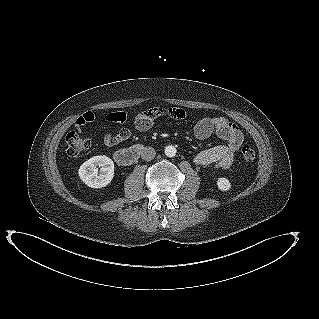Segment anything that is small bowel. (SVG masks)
<instances>
[{"label":"small bowel","mask_w":319,"mask_h":319,"mask_svg":"<svg viewBox=\"0 0 319 319\" xmlns=\"http://www.w3.org/2000/svg\"><path fill=\"white\" fill-rule=\"evenodd\" d=\"M163 116L180 120L186 117V111L180 107L166 109L153 107L136 116L135 127L139 131H148L153 127L155 120ZM94 119L95 117L92 112L85 113L77 119L76 128L81 130ZM193 132L198 139H206L211 135H216L226 142L223 145L215 146L196 154L193 159L195 165H213L225 170L234 164L237 153L244 141L243 133L234 123L222 116H207L197 121ZM131 134L130 129L121 128L116 133H107L104 137V143L110 147L115 146L128 140Z\"/></svg>","instance_id":"obj_1"}]
</instances>
